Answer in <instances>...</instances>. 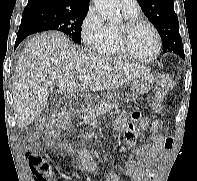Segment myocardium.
I'll return each mask as SVG.
<instances>
[{"label":"myocardium","mask_w":197,"mask_h":181,"mask_svg":"<svg viewBox=\"0 0 197 181\" xmlns=\"http://www.w3.org/2000/svg\"><path fill=\"white\" fill-rule=\"evenodd\" d=\"M140 25L148 26L154 33L156 37V50L148 57H143L137 55L131 48L130 38L134 29ZM117 41L121 50L125 53L128 58L141 61V62H151L154 61L162 50V41L158 29L150 21L143 19L141 17L126 18L125 21L117 28Z\"/></svg>","instance_id":"f54148a6"}]
</instances>
